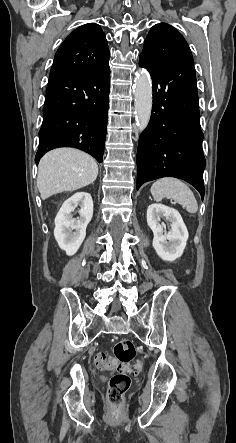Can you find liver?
I'll list each match as a JSON object with an SVG mask.
<instances>
[{"label": "liver", "instance_id": "1", "mask_svg": "<svg viewBox=\"0 0 236 443\" xmlns=\"http://www.w3.org/2000/svg\"><path fill=\"white\" fill-rule=\"evenodd\" d=\"M97 175L98 165L90 155L73 148H58L40 160L37 187L45 200L57 193L83 188L93 183Z\"/></svg>", "mask_w": 236, "mask_h": 443}]
</instances>
